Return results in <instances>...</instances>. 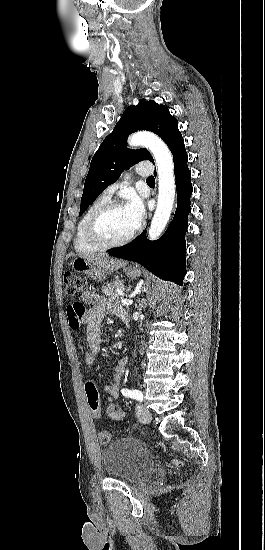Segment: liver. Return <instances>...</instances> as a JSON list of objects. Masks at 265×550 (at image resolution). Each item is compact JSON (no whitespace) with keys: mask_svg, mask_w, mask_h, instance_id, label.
Masks as SVG:
<instances>
[{"mask_svg":"<svg viewBox=\"0 0 265 550\" xmlns=\"http://www.w3.org/2000/svg\"><path fill=\"white\" fill-rule=\"evenodd\" d=\"M83 258L95 262L101 268L109 272H114L118 270L120 267H124L126 265L124 261L112 259L110 257H107L105 254L85 255L83 256Z\"/></svg>","mask_w":265,"mask_h":550,"instance_id":"1","label":"liver"}]
</instances>
